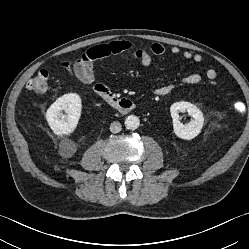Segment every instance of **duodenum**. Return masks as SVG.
Here are the masks:
<instances>
[{"mask_svg":"<svg viewBox=\"0 0 249 249\" xmlns=\"http://www.w3.org/2000/svg\"><path fill=\"white\" fill-rule=\"evenodd\" d=\"M99 95L114 109L120 113L127 114L135 109L136 103L128 98L119 97L112 93L110 90H105Z\"/></svg>","mask_w":249,"mask_h":249,"instance_id":"obj_1","label":"duodenum"}]
</instances>
